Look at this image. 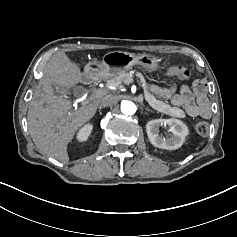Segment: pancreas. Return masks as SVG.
I'll list each match as a JSON object with an SVG mask.
<instances>
[{
	"label": "pancreas",
	"instance_id": "pancreas-1",
	"mask_svg": "<svg viewBox=\"0 0 237 237\" xmlns=\"http://www.w3.org/2000/svg\"><path fill=\"white\" fill-rule=\"evenodd\" d=\"M138 77L140 79L139 83L142 84V87L144 89L145 99L153 109L164 114L170 115L172 117H185V113L183 112V110L176 107H171L170 105L165 104L163 101L157 100L155 96L148 91V86L145 82L143 75L140 74L138 75ZM129 78H132L133 81V77L130 73H122L117 76H114L107 80L106 88L104 90L108 92L109 86L118 87L123 81H127Z\"/></svg>",
	"mask_w": 237,
	"mask_h": 237
}]
</instances>
